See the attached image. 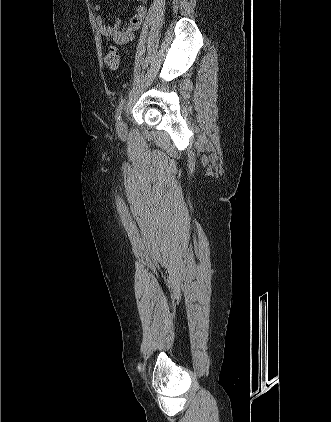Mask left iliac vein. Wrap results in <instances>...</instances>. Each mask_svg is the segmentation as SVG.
<instances>
[{
	"label": "left iliac vein",
	"instance_id": "obj_1",
	"mask_svg": "<svg viewBox=\"0 0 331 422\" xmlns=\"http://www.w3.org/2000/svg\"><path fill=\"white\" fill-rule=\"evenodd\" d=\"M118 129H119V131H120L121 133L126 132L127 127H126V123H125V121L123 120V118H121V119H120V121H119V123H118Z\"/></svg>",
	"mask_w": 331,
	"mask_h": 422
}]
</instances>
